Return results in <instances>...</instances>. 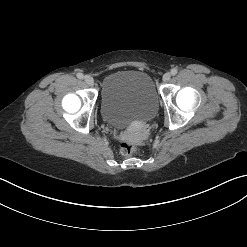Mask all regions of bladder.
I'll return each mask as SVG.
<instances>
[{
	"label": "bladder",
	"instance_id": "obj_1",
	"mask_svg": "<svg viewBox=\"0 0 247 247\" xmlns=\"http://www.w3.org/2000/svg\"><path fill=\"white\" fill-rule=\"evenodd\" d=\"M158 112V92L152 78L136 70L108 75L101 84V115L117 129L152 121Z\"/></svg>",
	"mask_w": 247,
	"mask_h": 247
}]
</instances>
